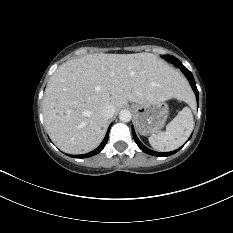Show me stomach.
Listing matches in <instances>:
<instances>
[{"mask_svg":"<svg viewBox=\"0 0 233 233\" xmlns=\"http://www.w3.org/2000/svg\"><path fill=\"white\" fill-rule=\"evenodd\" d=\"M135 124L141 135H148L159 132L167 119L168 106L164 101L152 103L133 104Z\"/></svg>","mask_w":233,"mask_h":233,"instance_id":"obj_1","label":"stomach"}]
</instances>
